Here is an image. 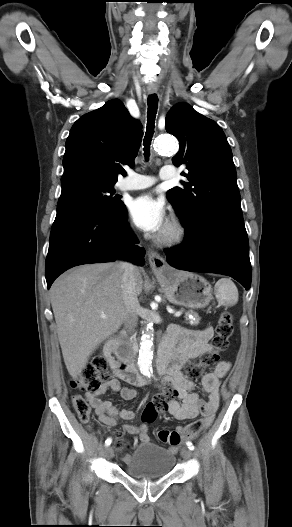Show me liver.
Wrapping results in <instances>:
<instances>
[{"mask_svg": "<svg viewBox=\"0 0 292 527\" xmlns=\"http://www.w3.org/2000/svg\"><path fill=\"white\" fill-rule=\"evenodd\" d=\"M122 273L120 262L84 265L58 278L50 289L59 343L73 378L81 375L93 352L124 322ZM135 282L139 295L143 279L138 267Z\"/></svg>", "mask_w": 292, "mask_h": 527, "instance_id": "6515ba94", "label": "liver"}]
</instances>
